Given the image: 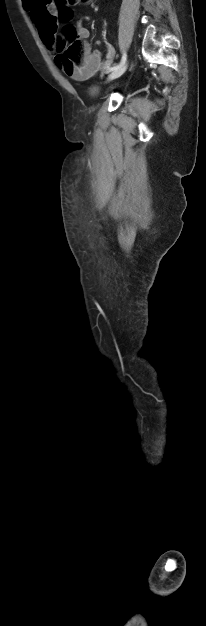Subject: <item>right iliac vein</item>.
Wrapping results in <instances>:
<instances>
[{
    "instance_id": "1",
    "label": "right iliac vein",
    "mask_w": 206,
    "mask_h": 626,
    "mask_svg": "<svg viewBox=\"0 0 206 626\" xmlns=\"http://www.w3.org/2000/svg\"><path fill=\"white\" fill-rule=\"evenodd\" d=\"M127 69V64H124L122 67L114 70L113 72H111L108 76V80H114L116 78H119Z\"/></svg>"
}]
</instances>
